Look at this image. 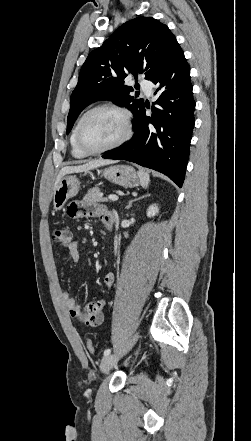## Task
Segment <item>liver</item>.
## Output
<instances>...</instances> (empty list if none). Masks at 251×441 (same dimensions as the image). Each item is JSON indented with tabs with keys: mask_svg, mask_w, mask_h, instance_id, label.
Listing matches in <instances>:
<instances>
[{
	"mask_svg": "<svg viewBox=\"0 0 251 441\" xmlns=\"http://www.w3.org/2000/svg\"><path fill=\"white\" fill-rule=\"evenodd\" d=\"M112 163H114V161L103 160V159H96V160L89 161V162H87L85 164H82V165L63 167L60 170V172H59V174H58V176L56 178L55 188L57 187V185L60 182V180L62 179V177H64L67 174L89 171V170L95 169L97 167H101V166H104V165H109V164H112Z\"/></svg>",
	"mask_w": 251,
	"mask_h": 441,
	"instance_id": "6515ba94",
	"label": "liver"
}]
</instances>
